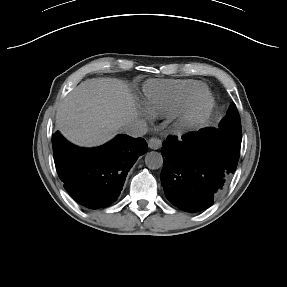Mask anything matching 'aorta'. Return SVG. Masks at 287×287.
I'll return each mask as SVG.
<instances>
[{
    "label": "aorta",
    "mask_w": 287,
    "mask_h": 287,
    "mask_svg": "<svg viewBox=\"0 0 287 287\" xmlns=\"http://www.w3.org/2000/svg\"><path fill=\"white\" fill-rule=\"evenodd\" d=\"M145 164L149 169L156 170L162 167V154L156 151L148 152L145 156Z\"/></svg>",
    "instance_id": "762f6f07"
}]
</instances>
